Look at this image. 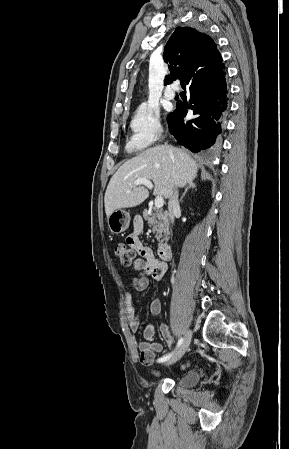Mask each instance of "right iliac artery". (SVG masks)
Returning <instances> with one entry per match:
<instances>
[{
    "label": "right iliac artery",
    "mask_w": 289,
    "mask_h": 449,
    "mask_svg": "<svg viewBox=\"0 0 289 449\" xmlns=\"http://www.w3.org/2000/svg\"><path fill=\"white\" fill-rule=\"evenodd\" d=\"M182 343H183V338H180L177 343V348L180 347ZM173 354H174V351L172 353H169V354L161 357L160 359H158V362L167 361Z\"/></svg>",
    "instance_id": "right-iliac-artery-1"
}]
</instances>
